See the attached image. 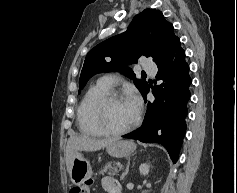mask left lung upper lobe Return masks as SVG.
Masks as SVG:
<instances>
[{
    "label": "left lung upper lobe",
    "instance_id": "left-lung-upper-lobe-1",
    "mask_svg": "<svg viewBox=\"0 0 237 193\" xmlns=\"http://www.w3.org/2000/svg\"><path fill=\"white\" fill-rule=\"evenodd\" d=\"M178 39L172 24L164 19L160 11L146 9L134 17L127 31L103 41L89 51L81 71L79 88H83L96 73L123 70L134 80L142 94L148 83L135 79L131 69L121 66L136 63L143 55L151 56L158 63Z\"/></svg>",
    "mask_w": 237,
    "mask_h": 193
}]
</instances>
